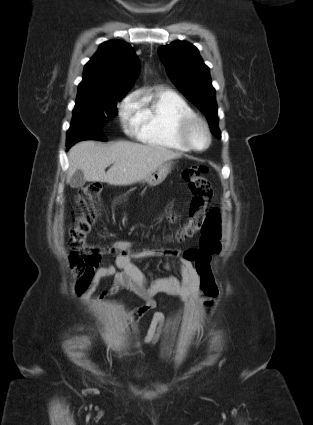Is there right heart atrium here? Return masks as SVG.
<instances>
[{
  "instance_id": "right-heart-atrium-1",
  "label": "right heart atrium",
  "mask_w": 313,
  "mask_h": 425,
  "mask_svg": "<svg viewBox=\"0 0 313 425\" xmlns=\"http://www.w3.org/2000/svg\"><path fill=\"white\" fill-rule=\"evenodd\" d=\"M139 103L136 93L127 96L120 105L119 116L124 128L134 132L138 122Z\"/></svg>"
}]
</instances>
